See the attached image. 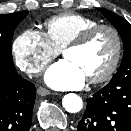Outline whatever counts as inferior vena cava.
<instances>
[{"instance_id": "inferior-vena-cava-1", "label": "inferior vena cava", "mask_w": 131, "mask_h": 131, "mask_svg": "<svg viewBox=\"0 0 131 131\" xmlns=\"http://www.w3.org/2000/svg\"><path fill=\"white\" fill-rule=\"evenodd\" d=\"M39 71V69H37V68H29V69H27V73H35V72H38Z\"/></svg>"}]
</instances>
